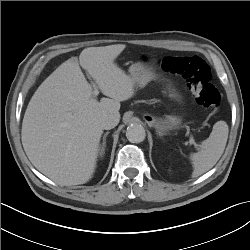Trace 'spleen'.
<instances>
[{
    "label": "spleen",
    "instance_id": "3e777b00",
    "mask_svg": "<svg viewBox=\"0 0 250 250\" xmlns=\"http://www.w3.org/2000/svg\"><path fill=\"white\" fill-rule=\"evenodd\" d=\"M228 133L229 129L225 121H218L213 125L210 136L201 143V149L190 156L193 178L204 174L217 163L224 152Z\"/></svg>",
    "mask_w": 250,
    "mask_h": 250
}]
</instances>
